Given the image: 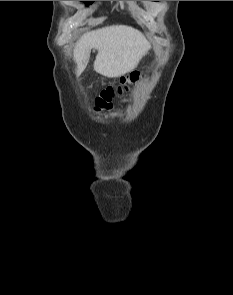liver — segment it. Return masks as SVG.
<instances>
[{
  "label": "liver",
  "instance_id": "6515ba94",
  "mask_svg": "<svg viewBox=\"0 0 233 295\" xmlns=\"http://www.w3.org/2000/svg\"><path fill=\"white\" fill-rule=\"evenodd\" d=\"M92 49L98 51L94 70L109 78L133 71L149 49L144 35L126 25H112L85 33L76 43L73 58L76 76L85 70Z\"/></svg>",
  "mask_w": 233,
  "mask_h": 295
}]
</instances>
